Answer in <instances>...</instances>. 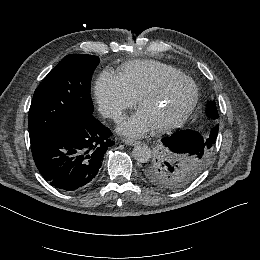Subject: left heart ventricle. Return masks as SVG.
<instances>
[{
    "instance_id": "1",
    "label": "left heart ventricle",
    "mask_w": 260,
    "mask_h": 260,
    "mask_svg": "<svg viewBox=\"0 0 260 260\" xmlns=\"http://www.w3.org/2000/svg\"><path fill=\"white\" fill-rule=\"evenodd\" d=\"M193 92L194 89L190 82L177 80L146 100L140 109L155 126L177 116L187 105Z\"/></svg>"
}]
</instances>
